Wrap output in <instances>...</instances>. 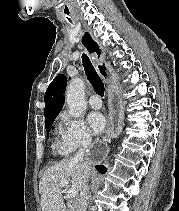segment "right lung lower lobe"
I'll use <instances>...</instances> for the list:
<instances>
[{"label":"right lung lower lobe","mask_w":179,"mask_h":211,"mask_svg":"<svg viewBox=\"0 0 179 211\" xmlns=\"http://www.w3.org/2000/svg\"><path fill=\"white\" fill-rule=\"evenodd\" d=\"M96 168L101 172V173H104L106 171V169L100 165V166H96Z\"/></svg>","instance_id":"obj_1"}]
</instances>
